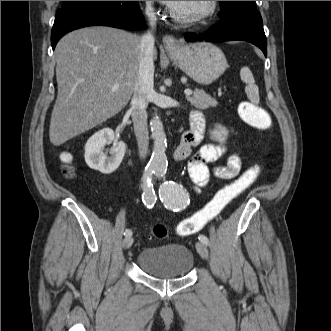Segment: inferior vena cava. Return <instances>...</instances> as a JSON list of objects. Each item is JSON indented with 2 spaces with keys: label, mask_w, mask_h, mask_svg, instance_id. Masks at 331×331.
Returning a JSON list of instances; mask_svg holds the SVG:
<instances>
[{
  "label": "inferior vena cava",
  "mask_w": 331,
  "mask_h": 331,
  "mask_svg": "<svg viewBox=\"0 0 331 331\" xmlns=\"http://www.w3.org/2000/svg\"><path fill=\"white\" fill-rule=\"evenodd\" d=\"M146 14L153 29L156 25V15L152 9H147ZM154 42L155 38L152 30L141 37L139 72L131 100V116L141 159L146 158L149 146L146 108L150 97L154 93Z\"/></svg>",
  "instance_id": "602c4592"
}]
</instances>
